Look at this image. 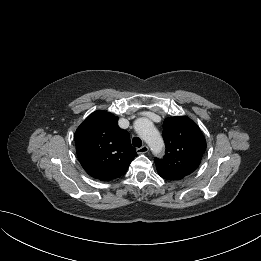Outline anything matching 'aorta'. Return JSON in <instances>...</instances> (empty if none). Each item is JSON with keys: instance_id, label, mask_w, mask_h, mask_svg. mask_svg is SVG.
I'll return each mask as SVG.
<instances>
[{"instance_id": "762f6f07", "label": "aorta", "mask_w": 261, "mask_h": 261, "mask_svg": "<svg viewBox=\"0 0 261 261\" xmlns=\"http://www.w3.org/2000/svg\"><path fill=\"white\" fill-rule=\"evenodd\" d=\"M134 128L155 155H159L163 151L164 141L150 120L137 119L134 123Z\"/></svg>"}]
</instances>
